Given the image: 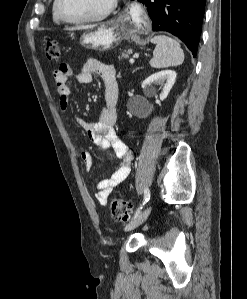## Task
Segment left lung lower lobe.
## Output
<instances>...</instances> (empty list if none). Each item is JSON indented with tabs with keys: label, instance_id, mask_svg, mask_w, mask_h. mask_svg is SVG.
Returning <instances> with one entry per match:
<instances>
[{
	"label": "left lung lower lobe",
	"instance_id": "obj_1",
	"mask_svg": "<svg viewBox=\"0 0 247 299\" xmlns=\"http://www.w3.org/2000/svg\"><path fill=\"white\" fill-rule=\"evenodd\" d=\"M148 7L153 31H167L196 56L206 0H138Z\"/></svg>",
	"mask_w": 247,
	"mask_h": 299
}]
</instances>
